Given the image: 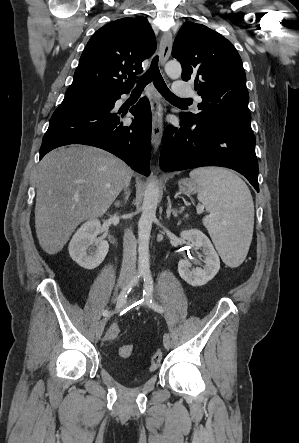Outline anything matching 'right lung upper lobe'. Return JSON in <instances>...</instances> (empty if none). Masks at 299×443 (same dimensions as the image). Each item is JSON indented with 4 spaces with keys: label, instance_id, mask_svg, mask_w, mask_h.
<instances>
[{
    "label": "right lung upper lobe",
    "instance_id": "1",
    "mask_svg": "<svg viewBox=\"0 0 299 443\" xmlns=\"http://www.w3.org/2000/svg\"><path fill=\"white\" fill-rule=\"evenodd\" d=\"M155 50V35L146 18L112 21L88 41L70 87L111 93L128 91L136 75L143 72L142 61Z\"/></svg>",
    "mask_w": 299,
    "mask_h": 443
}]
</instances>
